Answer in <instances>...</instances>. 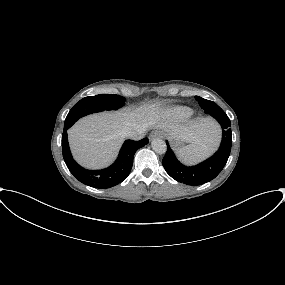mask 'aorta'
Here are the masks:
<instances>
[{
	"label": "aorta",
	"instance_id": "aorta-1",
	"mask_svg": "<svg viewBox=\"0 0 285 285\" xmlns=\"http://www.w3.org/2000/svg\"><path fill=\"white\" fill-rule=\"evenodd\" d=\"M151 146H152V149L158 154H164L167 151L166 143L160 138H156L152 140Z\"/></svg>",
	"mask_w": 285,
	"mask_h": 285
}]
</instances>
